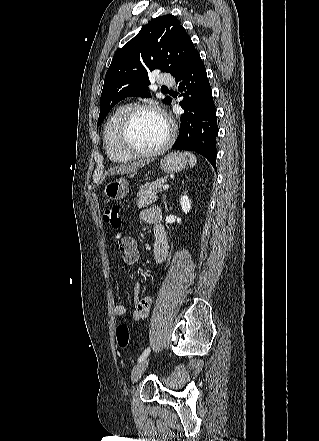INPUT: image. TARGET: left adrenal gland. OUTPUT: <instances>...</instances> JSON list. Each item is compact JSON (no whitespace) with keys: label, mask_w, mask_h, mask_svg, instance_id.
Instances as JSON below:
<instances>
[{"label":"left adrenal gland","mask_w":319,"mask_h":441,"mask_svg":"<svg viewBox=\"0 0 319 441\" xmlns=\"http://www.w3.org/2000/svg\"><path fill=\"white\" fill-rule=\"evenodd\" d=\"M163 202H164L165 211H167V210H168V207H167V203H166L165 195L163 196Z\"/></svg>","instance_id":"a2214340"}]
</instances>
